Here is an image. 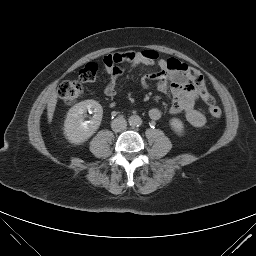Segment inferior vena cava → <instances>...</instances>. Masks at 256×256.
Masks as SVG:
<instances>
[{"mask_svg":"<svg viewBox=\"0 0 256 256\" xmlns=\"http://www.w3.org/2000/svg\"><path fill=\"white\" fill-rule=\"evenodd\" d=\"M127 122L123 117H117L111 122V128L114 132H121L126 129Z\"/></svg>","mask_w":256,"mask_h":256,"instance_id":"obj_1","label":"inferior vena cava"}]
</instances>
